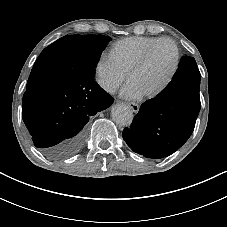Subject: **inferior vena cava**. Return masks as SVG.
Wrapping results in <instances>:
<instances>
[{"label": "inferior vena cava", "mask_w": 227, "mask_h": 227, "mask_svg": "<svg viewBox=\"0 0 227 227\" xmlns=\"http://www.w3.org/2000/svg\"><path fill=\"white\" fill-rule=\"evenodd\" d=\"M107 92H109L110 94H114L116 93L117 87L115 84L113 83H108L103 87Z\"/></svg>", "instance_id": "602c4592"}]
</instances>
